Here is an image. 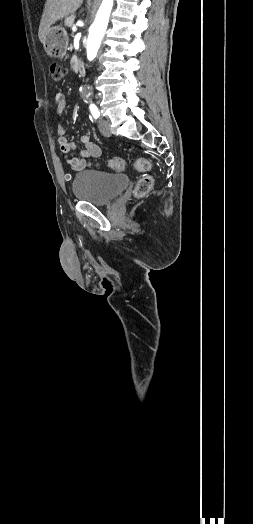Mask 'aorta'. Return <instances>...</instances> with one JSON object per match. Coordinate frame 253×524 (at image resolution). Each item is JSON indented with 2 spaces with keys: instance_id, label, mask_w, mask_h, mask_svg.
Returning a JSON list of instances; mask_svg holds the SVG:
<instances>
[{
  "instance_id": "762f6f07",
  "label": "aorta",
  "mask_w": 253,
  "mask_h": 524,
  "mask_svg": "<svg viewBox=\"0 0 253 524\" xmlns=\"http://www.w3.org/2000/svg\"><path fill=\"white\" fill-rule=\"evenodd\" d=\"M112 7L113 0H102L95 21L90 26L87 39V58L90 61H92L97 55L101 41L107 29Z\"/></svg>"
}]
</instances>
